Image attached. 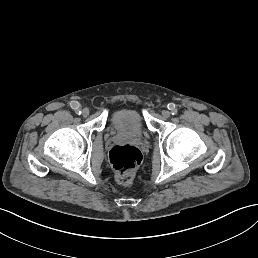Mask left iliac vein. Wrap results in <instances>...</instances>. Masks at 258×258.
<instances>
[{
  "instance_id": "4c4485c4",
  "label": "left iliac vein",
  "mask_w": 258,
  "mask_h": 258,
  "mask_svg": "<svg viewBox=\"0 0 258 258\" xmlns=\"http://www.w3.org/2000/svg\"><path fill=\"white\" fill-rule=\"evenodd\" d=\"M163 115H164V117H166V118H167V117H169V115H170V114H169V112H167V111H166V112H164V114H163Z\"/></svg>"
}]
</instances>
